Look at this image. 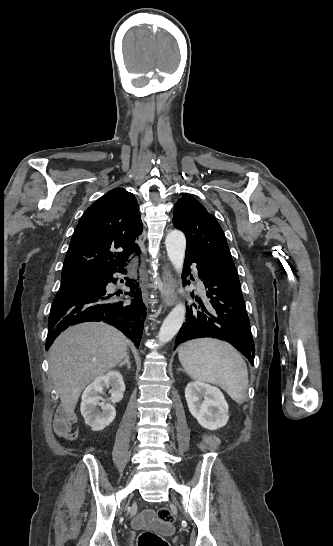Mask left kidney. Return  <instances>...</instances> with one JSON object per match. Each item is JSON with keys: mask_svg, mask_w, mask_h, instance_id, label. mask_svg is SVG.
Wrapping results in <instances>:
<instances>
[{"mask_svg": "<svg viewBox=\"0 0 333 546\" xmlns=\"http://www.w3.org/2000/svg\"><path fill=\"white\" fill-rule=\"evenodd\" d=\"M185 398L190 413L202 427L215 430L227 424L228 404L217 387L190 382L185 388Z\"/></svg>", "mask_w": 333, "mask_h": 546, "instance_id": "obj_1", "label": "left kidney"}]
</instances>
